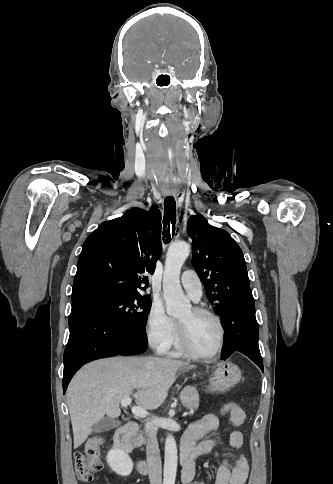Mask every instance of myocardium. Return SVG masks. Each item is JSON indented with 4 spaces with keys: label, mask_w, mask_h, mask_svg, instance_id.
Here are the masks:
<instances>
[{
    "label": "myocardium",
    "mask_w": 333,
    "mask_h": 484,
    "mask_svg": "<svg viewBox=\"0 0 333 484\" xmlns=\"http://www.w3.org/2000/svg\"><path fill=\"white\" fill-rule=\"evenodd\" d=\"M192 311L196 315H207L216 322L219 329L218 342L215 349L211 353L209 354L199 353L191 343L186 326L180 321H177V331H178V337H179V342L181 344V347L189 356L193 358L202 359V360L214 359L221 352L224 345V339H225L224 324L220 316L208 308H205L202 306H195L192 308Z\"/></svg>",
    "instance_id": "f54148a6"
}]
</instances>
